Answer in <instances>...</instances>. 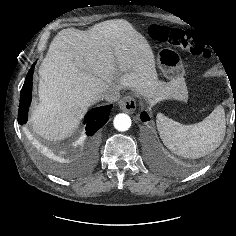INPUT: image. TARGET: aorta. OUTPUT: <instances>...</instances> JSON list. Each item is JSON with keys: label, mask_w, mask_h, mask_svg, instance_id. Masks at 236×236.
<instances>
[{"label": "aorta", "mask_w": 236, "mask_h": 236, "mask_svg": "<svg viewBox=\"0 0 236 236\" xmlns=\"http://www.w3.org/2000/svg\"><path fill=\"white\" fill-rule=\"evenodd\" d=\"M113 124L118 131H127L131 126V118L127 114L120 113L115 116Z\"/></svg>", "instance_id": "obj_1"}]
</instances>
